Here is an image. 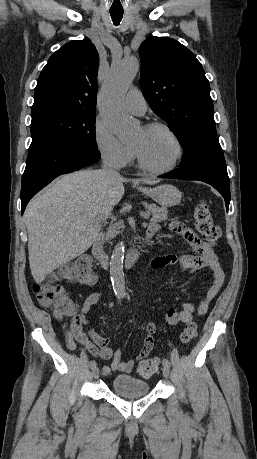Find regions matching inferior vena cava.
Segmentation results:
<instances>
[{"instance_id": "1", "label": "inferior vena cava", "mask_w": 257, "mask_h": 459, "mask_svg": "<svg viewBox=\"0 0 257 459\" xmlns=\"http://www.w3.org/2000/svg\"><path fill=\"white\" fill-rule=\"evenodd\" d=\"M101 171L108 175L114 176V177L119 176V173L116 170H113L112 168H110L105 160H103Z\"/></svg>"}]
</instances>
